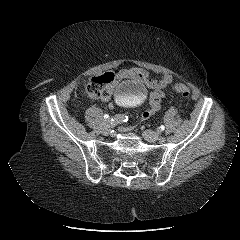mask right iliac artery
Returning <instances> with one entry per match:
<instances>
[{
	"mask_svg": "<svg viewBox=\"0 0 240 240\" xmlns=\"http://www.w3.org/2000/svg\"><path fill=\"white\" fill-rule=\"evenodd\" d=\"M127 121H128V116L123 115V114L115 115L113 118H108L107 120L100 121L99 125L97 126L96 133L100 134L104 125H107L110 123L120 124V123L127 122Z\"/></svg>",
	"mask_w": 240,
	"mask_h": 240,
	"instance_id": "right-iliac-artery-1",
	"label": "right iliac artery"
}]
</instances>
